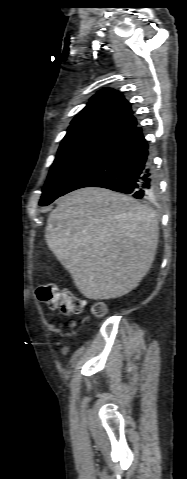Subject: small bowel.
<instances>
[{"label": "small bowel", "instance_id": "obj_1", "mask_svg": "<svg viewBox=\"0 0 187 479\" xmlns=\"http://www.w3.org/2000/svg\"><path fill=\"white\" fill-rule=\"evenodd\" d=\"M69 351H70V347H69V346H65V347L62 348L61 354H62L63 356H66V355L69 353Z\"/></svg>", "mask_w": 187, "mask_h": 479}]
</instances>
